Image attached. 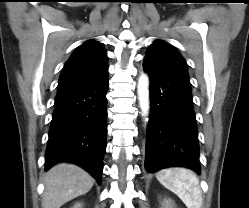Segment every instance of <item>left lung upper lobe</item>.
Masks as SVG:
<instances>
[{
    "label": "left lung upper lobe",
    "instance_id": "1",
    "mask_svg": "<svg viewBox=\"0 0 249 208\" xmlns=\"http://www.w3.org/2000/svg\"><path fill=\"white\" fill-rule=\"evenodd\" d=\"M145 59L188 76L185 59L172 45L164 41L156 40L152 43Z\"/></svg>",
    "mask_w": 249,
    "mask_h": 208
}]
</instances>
